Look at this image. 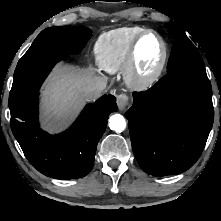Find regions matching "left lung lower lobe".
I'll return each instance as SVG.
<instances>
[{"instance_id": "0a47b994", "label": "left lung lower lobe", "mask_w": 221, "mask_h": 221, "mask_svg": "<svg viewBox=\"0 0 221 221\" xmlns=\"http://www.w3.org/2000/svg\"><path fill=\"white\" fill-rule=\"evenodd\" d=\"M126 112L132 149L140 167L154 176L180 174L201 155L214 109L207 76L175 72L133 93Z\"/></svg>"}]
</instances>
